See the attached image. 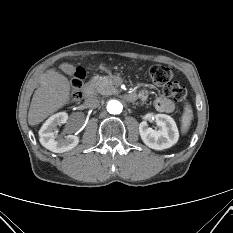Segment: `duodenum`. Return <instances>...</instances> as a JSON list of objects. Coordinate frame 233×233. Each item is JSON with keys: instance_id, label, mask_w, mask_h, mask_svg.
I'll return each mask as SVG.
<instances>
[{"instance_id": "1", "label": "duodenum", "mask_w": 233, "mask_h": 233, "mask_svg": "<svg viewBox=\"0 0 233 233\" xmlns=\"http://www.w3.org/2000/svg\"><path fill=\"white\" fill-rule=\"evenodd\" d=\"M83 94H84L85 99H91L94 94L93 86L91 84L85 85L83 88ZM137 97H138L137 94L134 92H130L126 94V99L128 101H135Z\"/></svg>"}]
</instances>
